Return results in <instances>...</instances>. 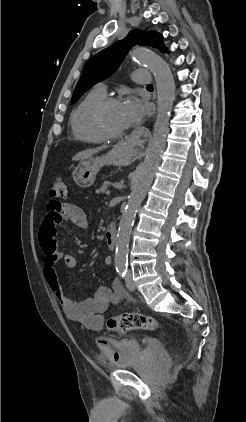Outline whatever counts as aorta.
I'll return each instance as SVG.
<instances>
[{"label":"aorta","mask_w":246,"mask_h":422,"mask_svg":"<svg viewBox=\"0 0 246 422\" xmlns=\"http://www.w3.org/2000/svg\"><path fill=\"white\" fill-rule=\"evenodd\" d=\"M131 56L134 61L145 65L153 73L157 87L158 108L152 142L143 163L135 172L132 191L119 222L115 253V266L119 269L126 267L129 240L136 213L153 182L161 161L175 96L172 72L160 56L143 48H135Z\"/></svg>","instance_id":"aorta-1"}]
</instances>
